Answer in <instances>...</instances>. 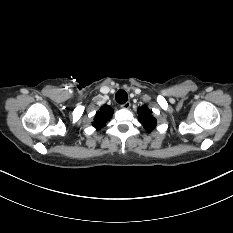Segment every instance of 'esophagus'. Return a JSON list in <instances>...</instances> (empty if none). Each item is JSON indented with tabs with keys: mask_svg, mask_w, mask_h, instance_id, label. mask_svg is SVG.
<instances>
[{
	"mask_svg": "<svg viewBox=\"0 0 233 233\" xmlns=\"http://www.w3.org/2000/svg\"><path fill=\"white\" fill-rule=\"evenodd\" d=\"M131 106V103L129 101L125 102L124 104L121 105V108L123 109H129Z\"/></svg>",
	"mask_w": 233,
	"mask_h": 233,
	"instance_id": "obj_1",
	"label": "esophagus"
}]
</instances>
